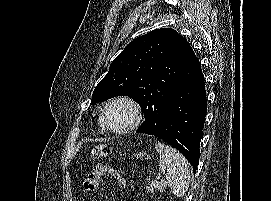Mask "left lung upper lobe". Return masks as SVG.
Listing matches in <instances>:
<instances>
[{
  "label": "left lung upper lobe",
  "instance_id": "left-lung-upper-lobe-1",
  "mask_svg": "<svg viewBox=\"0 0 271 201\" xmlns=\"http://www.w3.org/2000/svg\"><path fill=\"white\" fill-rule=\"evenodd\" d=\"M186 43L171 28L156 29L134 39L96 86L91 105L127 95L142 109L145 121L141 127L157 130L163 108L178 83Z\"/></svg>",
  "mask_w": 271,
  "mask_h": 201
}]
</instances>
